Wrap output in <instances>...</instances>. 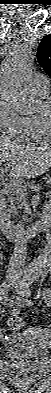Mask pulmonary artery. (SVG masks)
<instances>
[{"mask_svg":"<svg viewBox=\"0 0 51 393\" xmlns=\"http://www.w3.org/2000/svg\"><path fill=\"white\" fill-rule=\"evenodd\" d=\"M33 83L38 92L49 93L50 92V81L49 79L41 74H35L33 76Z\"/></svg>","mask_w":51,"mask_h":393,"instance_id":"obj_1","label":"pulmonary artery"}]
</instances>
